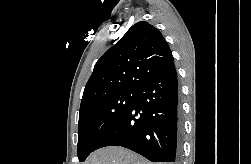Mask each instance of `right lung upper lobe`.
I'll use <instances>...</instances> for the list:
<instances>
[{"label":"right lung upper lobe","mask_w":251,"mask_h":164,"mask_svg":"<svg viewBox=\"0 0 251 164\" xmlns=\"http://www.w3.org/2000/svg\"><path fill=\"white\" fill-rule=\"evenodd\" d=\"M172 64V53L160 31L140 21L97 61L85 86L81 106L107 93L138 89L144 81Z\"/></svg>","instance_id":"right-lung-upper-lobe-1"}]
</instances>
